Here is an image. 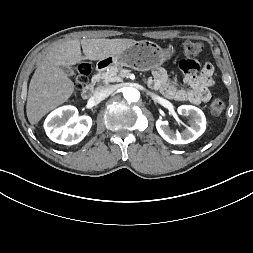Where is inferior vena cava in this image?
Returning <instances> with one entry per match:
<instances>
[{"instance_id":"inferior-vena-cava-1","label":"inferior vena cava","mask_w":253,"mask_h":253,"mask_svg":"<svg viewBox=\"0 0 253 253\" xmlns=\"http://www.w3.org/2000/svg\"><path fill=\"white\" fill-rule=\"evenodd\" d=\"M113 91L114 88L111 86H101L96 89L94 97L98 100H102L112 94Z\"/></svg>"}]
</instances>
